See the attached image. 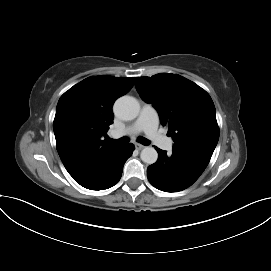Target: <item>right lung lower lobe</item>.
I'll return each instance as SVG.
<instances>
[{
  "mask_svg": "<svg viewBox=\"0 0 271 271\" xmlns=\"http://www.w3.org/2000/svg\"><path fill=\"white\" fill-rule=\"evenodd\" d=\"M135 149L133 144L119 145L87 176L77 181L90 190L108 189L121 178L123 166Z\"/></svg>",
  "mask_w": 271,
  "mask_h": 271,
  "instance_id": "1",
  "label": "right lung lower lobe"
}]
</instances>
